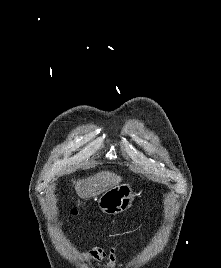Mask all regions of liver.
<instances>
[{
  "mask_svg": "<svg viewBox=\"0 0 221 268\" xmlns=\"http://www.w3.org/2000/svg\"><path fill=\"white\" fill-rule=\"evenodd\" d=\"M122 178L109 171L96 173L88 178L74 181L77 195L82 199L96 197L107 191L108 189L119 185Z\"/></svg>",
  "mask_w": 221,
  "mask_h": 268,
  "instance_id": "liver-1",
  "label": "liver"
}]
</instances>
